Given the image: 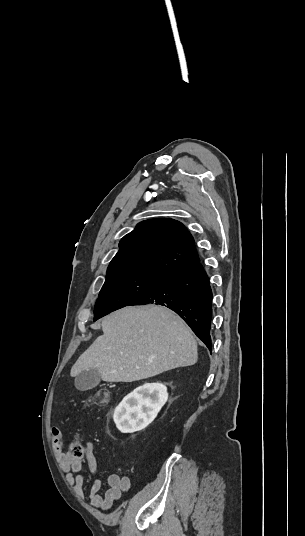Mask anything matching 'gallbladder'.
Returning <instances> with one entry per match:
<instances>
[{
  "label": "gallbladder",
  "mask_w": 305,
  "mask_h": 536,
  "mask_svg": "<svg viewBox=\"0 0 305 536\" xmlns=\"http://www.w3.org/2000/svg\"><path fill=\"white\" fill-rule=\"evenodd\" d=\"M100 382L101 376L98 370L92 368V370H83V372H80V374L76 376L74 384L77 390L85 392V390H92V388L98 386Z\"/></svg>",
  "instance_id": "obj_1"
}]
</instances>
